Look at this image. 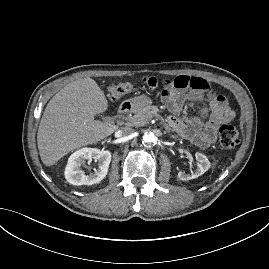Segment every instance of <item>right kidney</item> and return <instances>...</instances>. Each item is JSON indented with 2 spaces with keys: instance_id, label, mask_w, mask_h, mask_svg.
Returning a JSON list of instances; mask_svg holds the SVG:
<instances>
[{
  "instance_id": "obj_1",
  "label": "right kidney",
  "mask_w": 269,
  "mask_h": 269,
  "mask_svg": "<svg viewBox=\"0 0 269 269\" xmlns=\"http://www.w3.org/2000/svg\"><path fill=\"white\" fill-rule=\"evenodd\" d=\"M94 159L98 162V168L94 173L86 175L81 170L86 160ZM111 162V153L109 151L99 150L97 148H82L74 152L68 159L65 169V178L72 185H92L102 181L107 175L109 164Z\"/></svg>"
}]
</instances>
